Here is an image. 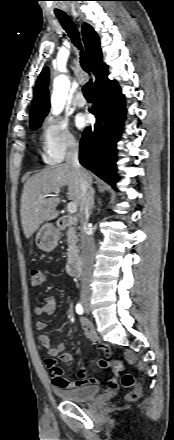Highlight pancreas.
Here are the masks:
<instances>
[{"instance_id": "pancreas-1", "label": "pancreas", "mask_w": 174, "mask_h": 440, "mask_svg": "<svg viewBox=\"0 0 174 440\" xmlns=\"http://www.w3.org/2000/svg\"><path fill=\"white\" fill-rule=\"evenodd\" d=\"M78 236L75 227H70L67 231V244H68V258H72L78 255L79 250L77 247Z\"/></svg>"}]
</instances>
